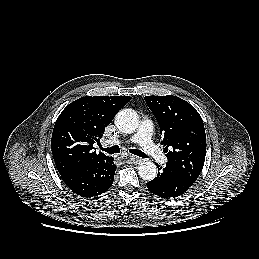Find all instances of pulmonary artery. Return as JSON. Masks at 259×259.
Segmentation results:
<instances>
[{
	"label": "pulmonary artery",
	"instance_id": "1",
	"mask_svg": "<svg viewBox=\"0 0 259 259\" xmlns=\"http://www.w3.org/2000/svg\"><path fill=\"white\" fill-rule=\"evenodd\" d=\"M153 130V124L150 120L142 121L139 132L137 135L130 139L116 140L113 143L117 145L130 144L133 142H139L144 152L151 156L155 161L165 163L166 157L160 151V149L151 140V134Z\"/></svg>",
	"mask_w": 259,
	"mask_h": 259
}]
</instances>
